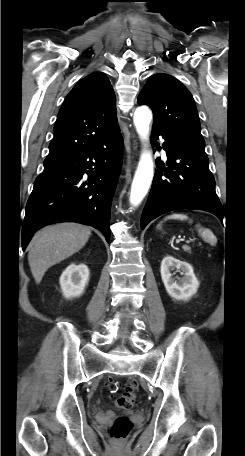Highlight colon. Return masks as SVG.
Masks as SVG:
<instances>
[{
    "mask_svg": "<svg viewBox=\"0 0 245 456\" xmlns=\"http://www.w3.org/2000/svg\"><path fill=\"white\" fill-rule=\"evenodd\" d=\"M109 397L114 404L121 409H130L136 404L137 384L134 381L128 382L122 391L120 384L116 380H110L108 383ZM132 423L126 417L117 418L109 427V434L115 440H123L131 430Z\"/></svg>",
    "mask_w": 245,
    "mask_h": 456,
    "instance_id": "5ec220e1",
    "label": "colon"
}]
</instances>
